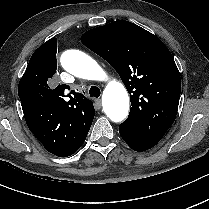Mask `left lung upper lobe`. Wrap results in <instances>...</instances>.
<instances>
[{"instance_id": "1", "label": "left lung upper lobe", "mask_w": 209, "mask_h": 209, "mask_svg": "<svg viewBox=\"0 0 209 209\" xmlns=\"http://www.w3.org/2000/svg\"><path fill=\"white\" fill-rule=\"evenodd\" d=\"M81 41L113 66L130 94L132 107L121 125L160 141L176 118L181 92L180 73L168 48L123 20L91 29Z\"/></svg>"}]
</instances>
